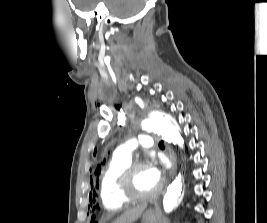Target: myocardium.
<instances>
[{
    "instance_id": "obj_1",
    "label": "myocardium",
    "mask_w": 267,
    "mask_h": 223,
    "mask_svg": "<svg viewBox=\"0 0 267 223\" xmlns=\"http://www.w3.org/2000/svg\"><path fill=\"white\" fill-rule=\"evenodd\" d=\"M143 167H148V161L145 159L136 160L130 163V165L122 172L119 178L118 187L122 199L126 203L130 202H145L155 199L160 191L161 187L147 194L136 193L133 189V178L136 172Z\"/></svg>"
}]
</instances>
